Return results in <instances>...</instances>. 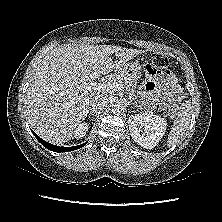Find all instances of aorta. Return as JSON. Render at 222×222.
I'll return each instance as SVG.
<instances>
[{"label":"aorta","mask_w":222,"mask_h":222,"mask_svg":"<svg viewBox=\"0 0 222 222\" xmlns=\"http://www.w3.org/2000/svg\"><path fill=\"white\" fill-rule=\"evenodd\" d=\"M125 106L121 102H116L112 106V111L115 114H120L124 112Z\"/></svg>","instance_id":"762f6f07"}]
</instances>
